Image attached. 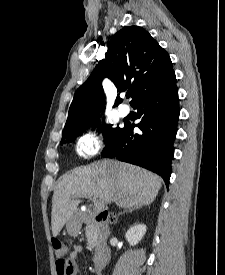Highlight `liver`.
<instances>
[{"label": "liver", "mask_w": 225, "mask_h": 275, "mask_svg": "<svg viewBox=\"0 0 225 275\" xmlns=\"http://www.w3.org/2000/svg\"><path fill=\"white\" fill-rule=\"evenodd\" d=\"M161 178L152 172L116 160H100L62 176L52 198V233L56 237L77 212L78 198L92 196L99 202L121 208L151 204L161 188Z\"/></svg>", "instance_id": "liver-1"}]
</instances>
